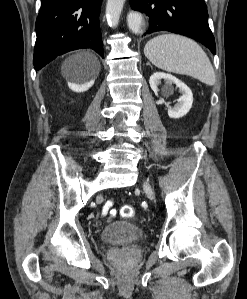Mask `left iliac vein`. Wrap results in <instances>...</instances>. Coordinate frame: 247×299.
Masks as SVG:
<instances>
[{
    "mask_svg": "<svg viewBox=\"0 0 247 299\" xmlns=\"http://www.w3.org/2000/svg\"><path fill=\"white\" fill-rule=\"evenodd\" d=\"M143 188L149 199L153 200L154 199V192L150 186V184L146 181L143 184Z\"/></svg>",
    "mask_w": 247,
    "mask_h": 299,
    "instance_id": "left-iliac-vein-1",
    "label": "left iliac vein"
}]
</instances>
